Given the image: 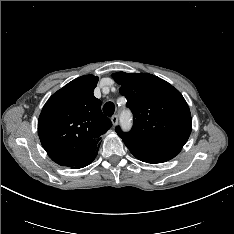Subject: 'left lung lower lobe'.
I'll return each instance as SVG.
<instances>
[{
  "label": "left lung lower lobe",
  "instance_id": "obj_1",
  "mask_svg": "<svg viewBox=\"0 0 234 234\" xmlns=\"http://www.w3.org/2000/svg\"><path fill=\"white\" fill-rule=\"evenodd\" d=\"M130 152L139 160L147 163H161L174 158L181 149L147 148L125 143Z\"/></svg>",
  "mask_w": 234,
  "mask_h": 234
}]
</instances>
